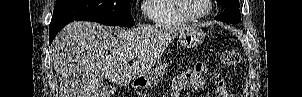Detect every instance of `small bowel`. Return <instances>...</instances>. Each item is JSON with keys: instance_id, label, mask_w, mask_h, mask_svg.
<instances>
[{"instance_id": "small-bowel-1", "label": "small bowel", "mask_w": 302, "mask_h": 97, "mask_svg": "<svg viewBox=\"0 0 302 97\" xmlns=\"http://www.w3.org/2000/svg\"><path fill=\"white\" fill-rule=\"evenodd\" d=\"M206 77H210L215 83V97H231L223 78L201 63L195 64L191 69L184 71L173 79L170 97H180L186 86L200 90L204 85Z\"/></svg>"}]
</instances>
